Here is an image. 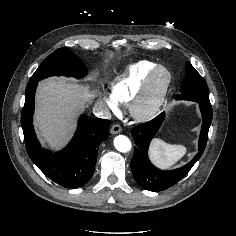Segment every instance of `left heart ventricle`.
<instances>
[{
	"label": "left heart ventricle",
	"instance_id": "left-heart-ventricle-1",
	"mask_svg": "<svg viewBox=\"0 0 236 236\" xmlns=\"http://www.w3.org/2000/svg\"><path fill=\"white\" fill-rule=\"evenodd\" d=\"M164 79H165L164 73H160L157 75V77L155 78V80L152 84L151 97L155 96L160 91V89L163 85Z\"/></svg>",
	"mask_w": 236,
	"mask_h": 236
}]
</instances>
